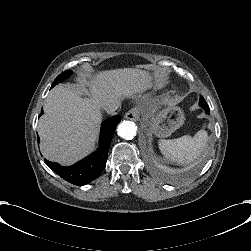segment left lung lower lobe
I'll list each match as a JSON object with an SVG mask.
<instances>
[{
    "label": "left lung lower lobe",
    "instance_id": "left-lung-lower-lobe-1",
    "mask_svg": "<svg viewBox=\"0 0 251 251\" xmlns=\"http://www.w3.org/2000/svg\"><path fill=\"white\" fill-rule=\"evenodd\" d=\"M207 113H209V107H203Z\"/></svg>",
    "mask_w": 251,
    "mask_h": 251
}]
</instances>
